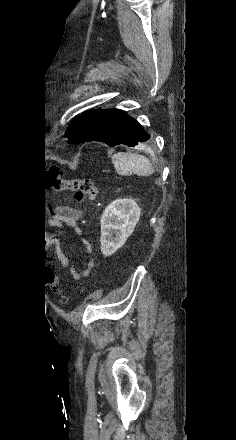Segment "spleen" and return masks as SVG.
Wrapping results in <instances>:
<instances>
[{
  "label": "spleen",
  "mask_w": 236,
  "mask_h": 440,
  "mask_svg": "<svg viewBox=\"0 0 236 440\" xmlns=\"http://www.w3.org/2000/svg\"><path fill=\"white\" fill-rule=\"evenodd\" d=\"M115 170L120 175L132 172L139 176H150L154 173V168L150 160L136 153L119 152L112 156Z\"/></svg>",
  "instance_id": "3e777b00"
}]
</instances>
